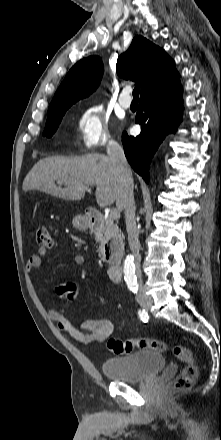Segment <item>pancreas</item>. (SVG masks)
<instances>
[{"label":"pancreas","instance_id":"pancreas-1","mask_svg":"<svg viewBox=\"0 0 221 440\" xmlns=\"http://www.w3.org/2000/svg\"><path fill=\"white\" fill-rule=\"evenodd\" d=\"M96 241L100 243L99 250L102 251L104 245L111 239L114 243H117L116 255L120 260L124 252L123 236L117 224L112 219L108 218L104 222V225L95 230Z\"/></svg>","mask_w":221,"mask_h":440}]
</instances>
